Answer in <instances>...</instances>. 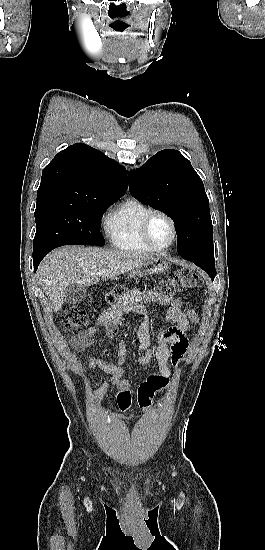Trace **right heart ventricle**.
<instances>
[{
    "mask_svg": "<svg viewBox=\"0 0 265 550\" xmlns=\"http://www.w3.org/2000/svg\"><path fill=\"white\" fill-rule=\"evenodd\" d=\"M151 208L136 198H129L106 218L105 230L111 245L124 252H151L141 235V222Z\"/></svg>",
    "mask_w": 265,
    "mask_h": 550,
    "instance_id": "obj_1",
    "label": "right heart ventricle"
}]
</instances>
